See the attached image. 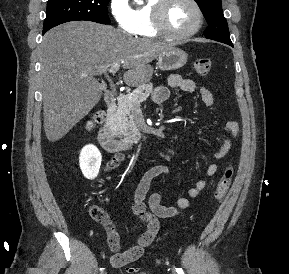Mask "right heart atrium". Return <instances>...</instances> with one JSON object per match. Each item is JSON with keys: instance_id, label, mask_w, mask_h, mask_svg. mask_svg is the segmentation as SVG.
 <instances>
[{"instance_id": "obj_1", "label": "right heart atrium", "mask_w": 289, "mask_h": 274, "mask_svg": "<svg viewBox=\"0 0 289 274\" xmlns=\"http://www.w3.org/2000/svg\"><path fill=\"white\" fill-rule=\"evenodd\" d=\"M110 14L117 26L127 33H132L134 27L133 9L128 0H110Z\"/></svg>"}]
</instances>
